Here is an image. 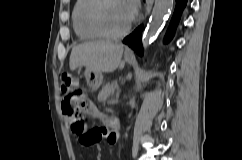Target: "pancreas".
<instances>
[{
	"label": "pancreas",
	"mask_w": 242,
	"mask_h": 160,
	"mask_svg": "<svg viewBox=\"0 0 242 160\" xmlns=\"http://www.w3.org/2000/svg\"><path fill=\"white\" fill-rule=\"evenodd\" d=\"M115 90H118V84L115 81L103 86L98 94V101L105 103L110 96L114 95Z\"/></svg>",
	"instance_id": "1"
}]
</instances>
